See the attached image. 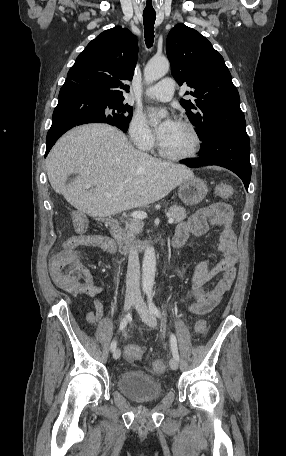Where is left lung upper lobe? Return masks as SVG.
<instances>
[{"mask_svg": "<svg viewBox=\"0 0 286 456\" xmlns=\"http://www.w3.org/2000/svg\"><path fill=\"white\" fill-rule=\"evenodd\" d=\"M166 51L178 84L193 90V100H181L202 142L217 132L246 133L239 93L223 57L196 30L177 24L168 34Z\"/></svg>", "mask_w": 286, "mask_h": 456, "instance_id": "1", "label": "left lung upper lobe"}]
</instances>
